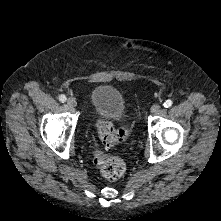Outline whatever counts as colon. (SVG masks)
<instances>
[{"mask_svg":"<svg viewBox=\"0 0 221 221\" xmlns=\"http://www.w3.org/2000/svg\"><path fill=\"white\" fill-rule=\"evenodd\" d=\"M98 131L101 141L106 147H112L126 141L128 130L124 127L115 128L111 123L100 122ZM94 162L102 175L109 180H117L125 173V164L118 158L108 156L101 151L94 153Z\"/></svg>","mask_w":221,"mask_h":221,"instance_id":"5ec220e1","label":"colon"}]
</instances>
